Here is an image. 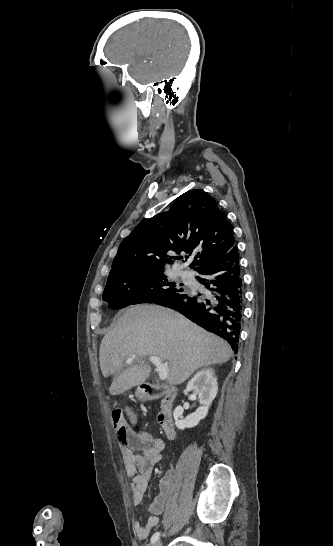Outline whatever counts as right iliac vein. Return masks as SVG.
I'll return each instance as SVG.
<instances>
[{
    "mask_svg": "<svg viewBox=\"0 0 333 546\" xmlns=\"http://www.w3.org/2000/svg\"><path fill=\"white\" fill-rule=\"evenodd\" d=\"M154 546H162V541H161V540L156 541V542L154 543Z\"/></svg>",
    "mask_w": 333,
    "mask_h": 546,
    "instance_id": "1",
    "label": "right iliac vein"
}]
</instances>
